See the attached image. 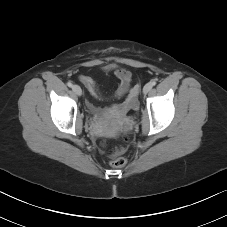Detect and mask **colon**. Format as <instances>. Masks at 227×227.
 Listing matches in <instances>:
<instances>
[{
    "label": "colon",
    "instance_id": "5ec220e1",
    "mask_svg": "<svg viewBox=\"0 0 227 227\" xmlns=\"http://www.w3.org/2000/svg\"><path fill=\"white\" fill-rule=\"evenodd\" d=\"M124 151H125L124 147H121L116 150L115 155L112 157V159L110 161L111 166H113L115 168H120L126 164V162H127L126 158L121 156V154H123Z\"/></svg>",
    "mask_w": 227,
    "mask_h": 227
}]
</instances>
